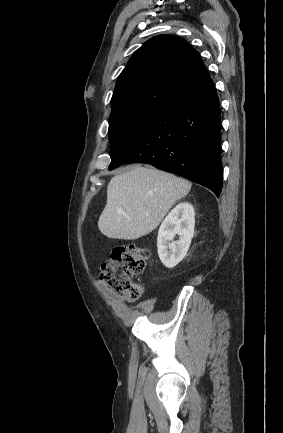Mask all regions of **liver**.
<instances>
[{
  "instance_id": "obj_1",
  "label": "liver",
  "mask_w": 283,
  "mask_h": 433,
  "mask_svg": "<svg viewBox=\"0 0 283 433\" xmlns=\"http://www.w3.org/2000/svg\"><path fill=\"white\" fill-rule=\"evenodd\" d=\"M190 188L189 180L170 172L133 166L112 176L98 229L109 239H140L160 225L171 206Z\"/></svg>"
}]
</instances>
